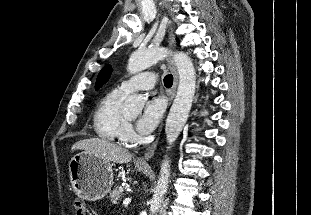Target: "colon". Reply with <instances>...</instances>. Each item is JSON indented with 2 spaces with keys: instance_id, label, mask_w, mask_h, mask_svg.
Listing matches in <instances>:
<instances>
[{
  "instance_id": "obj_1",
  "label": "colon",
  "mask_w": 311,
  "mask_h": 215,
  "mask_svg": "<svg viewBox=\"0 0 311 215\" xmlns=\"http://www.w3.org/2000/svg\"><path fill=\"white\" fill-rule=\"evenodd\" d=\"M74 208L75 215H92L88 207L81 201H76Z\"/></svg>"
}]
</instances>
